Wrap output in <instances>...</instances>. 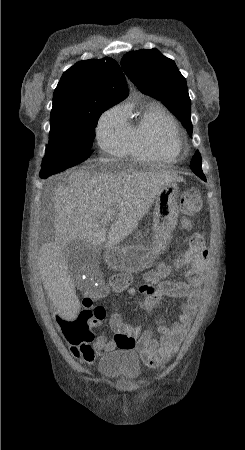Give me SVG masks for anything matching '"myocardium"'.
I'll list each match as a JSON object with an SVG mask.
<instances>
[{
	"label": "myocardium",
	"mask_w": 245,
	"mask_h": 450,
	"mask_svg": "<svg viewBox=\"0 0 245 450\" xmlns=\"http://www.w3.org/2000/svg\"><path fill=\"white\" fill-rule=\"evenodd\" d=\"M161 135L164 142L176 153L182 151V140L179 129L172 118H166L161 126Z\"/></svg>",
	"instance_id": "myocardium-1"
}]
</instances>
